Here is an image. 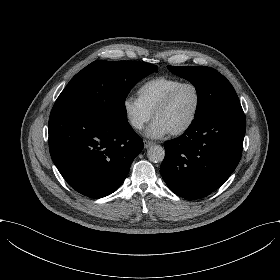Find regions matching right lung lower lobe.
I'll return each mask as SVG.
<instances>
[{
	"mask_svg": "<svg viewBox=\"0 0 280 280\" xmlns=\"http://www.w3.org/2000/svg\"><path fill=\"white\" fill-rule=\"evenodd\" d=\"M142 149V139L127 120L72 107H53L50 113L51 158L67 183L87 197L113 193Z\"/></svg>",
	"mask_w": 280,
	"mask_h": 280,
	"instance_id": "right-lung-lower-lobe-1",
	"label": "right lung lower lobe"
}]
</instances>
